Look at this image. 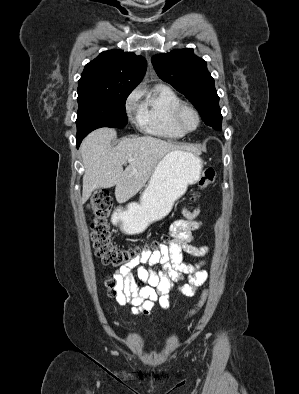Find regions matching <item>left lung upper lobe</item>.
Here are the masks:
<instances>
[{
  "label": "left lung upper lobe",
  "mask_w": 299,
  "mask_h": 394,
  "mask_svg": "<svg viewBox=\"0 0 299 394\" xmlns=\"http://www.w3.org/2000/svg\"><path fill=\"white\" fill-rule=\"evenodd\" d=\"M151 61L158 76L185 95L206 125L221 129L219 97L206 61L195 56L191 48L157 54Z\"/></svg>",
  "instance_id": "5c2ea615"
}]
</instances>
